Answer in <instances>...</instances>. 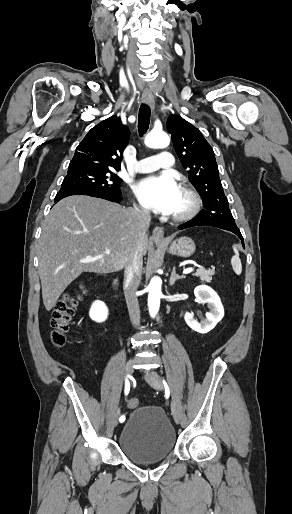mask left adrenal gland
I'll use <instances>...</instances> for the list:
<instances>
[{
	"label": "left adrenal gland",
	"instance_id": "left-adrenal-gland-1",
	"mask_svg": "<svg viewBox=\"0 0 292 514\" xmlns=\"http://www.w3.org/2000/svg\"><path fill=\"white\" fill-rule=\"evenodd\" d=\"M182 278H185V276H178V274H176L175 268H173L172 274H171L170 280H169L170 286H173V284H175L176 280H182Z\"/></svg>",
	"mask_w": 292,
	"mask_h": 514
}]
</instances>
